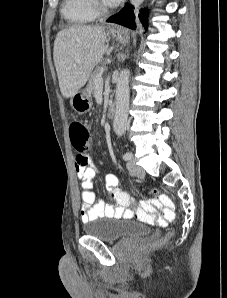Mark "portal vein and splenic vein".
I'll return each instance as SVG.
<instances>
[{
	"mask_svg": "<svg viewBox=\"0 0 227 298\" xmlns=\"http://www.w3.org/2000/svg\"><path fill=\"white\" fill-rule=\"evenodd\" d=\"M95 82H96V84H97L98 86H102V85H103L102 74H99V75L96 77Z\"/></svg>",
	"mask_w": 227,
	"mask_h": 298,
	"instance_id": "18ae733b",
	"label": "portal vein and splenic vein"
}]
</instances>
